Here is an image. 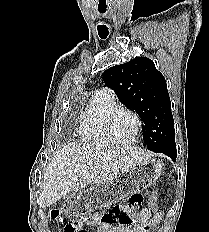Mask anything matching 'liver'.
Segmentation results:
<instances>
[{
  "mask_svg": "<svg viewBox=\"0 0 209 232\" xmlns=\"http://www.w3.org/2000/svg\"><path fill=\"white\" fill-rule=\"evenodd\" d=\"M150 155L135 147L69 143L49 163L42 180L47 207L89 184L103 185Z\"/></svg>",
  "mask_w": 209,
  "mask_h": 232,
  "instance_id": "liver-1",
  "label": "liver"
}]
</instances>
